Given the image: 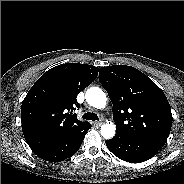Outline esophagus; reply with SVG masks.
<instances>
[{
  "label": "esophagus",
  "mask_w": 184,
  "mask_h": 184,
  "mask_svg": "<svg viewBox=\"0 0 184 184\" xmlns=\"http://www.w3.org/2000/svg\"><path fill=\"white\" fill-rule=\"evenodd\" d=\"M101 124H102L101 121L94 122V125H95V126H100Z\"/></svg>",
  "instance_id": "1"
}]
</instances>
